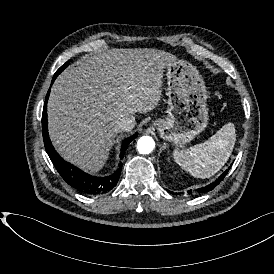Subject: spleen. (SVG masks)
I'll return each instance as SVG.
<instances>
[{
    "label": "spleen",
    "instance_id": "spleen-1",
    "mask_svg": "<svg viewBox=\"0 0 274 274\" xmlns=\"http://www.w3.org/2000/svg\"><path fill=\"white\" fill-rule=\"evenodd\" d=\"M235 140V129L231 123H228L203 143L187 149H174L173 158L192 176L207 178L225 164Z\"/></svg>",
    "mask_w": 274,
    "mask_h": 274
}]
</instances>
